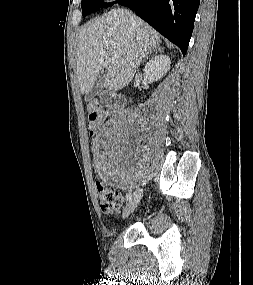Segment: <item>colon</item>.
I'll return each instance as SVG.
<instances>
[{"mask_svg":"<svg viewBox=\"0 0 253 285\" xmlns=\"http://www.w3.org/2000/svg\"><path fill=\"white\" fill-rule=\"evenodd\" d=\"M103 119V112L101 105L98 102H93L89 105L88 111V137H91L92 144L91 147L95 148L97 141H100V136H96V130L100 126ZM96 158H91L89 160V165L92 168L96 167ZM96 192L99 197V202L101 209L110 215L116 214L122 207L123 201L119 193L113 189L106 187L101 182H96Z\"/></svg>","mask_w":253,"mask_h":285,"instance_id":"1","label":"colon"}]
</instances>
